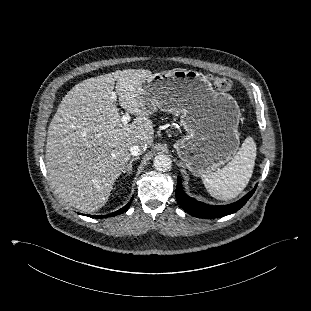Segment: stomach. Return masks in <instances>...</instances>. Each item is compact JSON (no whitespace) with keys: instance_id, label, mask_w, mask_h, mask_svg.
I'll return each mask as SVG.
<instances>
[{"instance_id":"stomach-1","label":"stomach","mask_w":311,"mask_h":311,"mask_svg":"<svg viewBox=\"0 0 311 311\" xmlns=\"http://www.w3.org/2000/svg\"><path fill=\"white\" fill-rule=\"evenodd\" d=\"M139 97L149 114L156 108L181 114L187 134L175 149L193 175L213 172L237 154L239 106L229 94L213 90L202 73L176 69L152 74L142 83Z\"/></svg>"}]
</instances>
